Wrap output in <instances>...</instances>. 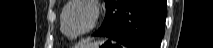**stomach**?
Masks as SVG:
<instances>
[{"label":"stomach","instance_id":"0dacf381","mask_svg":"<svg viewBox=\"0 0 213 48\" xmlns=\"http://www.w3.org/2000/svg\"><path fill=\"white\" fill-rule=\"evenodd\" d=\"M107 41H102L100 43H93L91 46H88V47H84V48H100L104 45V43H106Z\"/></svg>","mask_w":213,"mask_h":48}]
</instances>
